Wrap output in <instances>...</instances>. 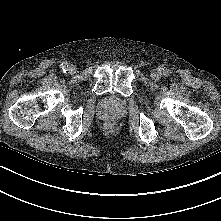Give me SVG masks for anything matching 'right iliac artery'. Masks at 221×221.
Here are the masks:
<instances>
[{"label":"right iliac artery","instance_id":"1","mask_svg":"<svg viewBox=\"0 0 221 221\" xmlns=\"http://www.w3.org/2000/svg\"><path fill=\"white\" fill-rule=\"evenodd\" d=\"M60 67L64 72H66L68 69V64L66 62H63Z\"/></svg>","mask_w":221,"mask_h":221}]
</instances>
